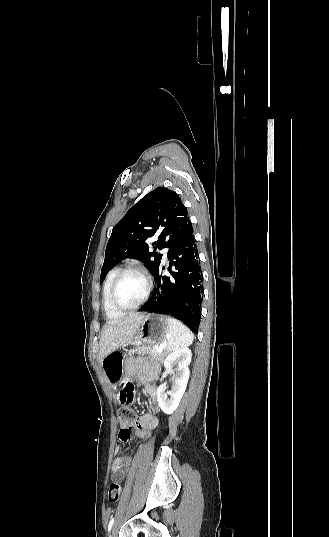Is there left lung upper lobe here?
<instances>
[{"label": "left lung upper lobe", "instance_id": "1", "mask_svg": "<svg viewBox=\"0 0 329 537\" xmlns=\"http://www.w3.org/2000/svg\"><path fill=\"white\" fill-rule=\"evenodd\" d=\"M190 225L187 208L176 192L158 187L130 208L113 227L105 250L100 281L123 258L144 262L152 274L159 267L162 254L157 249H169ZM157 237L150 251L145 240Z\"/></svg>", "mask_w": 329, "mask_h": 537}]
</instances>
